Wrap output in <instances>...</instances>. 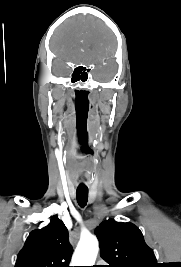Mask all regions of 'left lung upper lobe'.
Instances as JSON below:
<instances>
[{
    "label": "left lung upper lobe",
    "mask_w": 181,
    "mask_h": 267,
    "mask_svg": "<svg viewBox=\"0 0 181 267\" xmlns=\"http://www.w3.org/2000/svg\"><path fill=\"white\" fill-rule=\"evenodd\" d=\"M95 233L107 267H159L152 249L134 224L110 219L102 222Z\"/></svg>",
    "instance_id": "left-lung-upper-lobe-1"
}]
</instances>
